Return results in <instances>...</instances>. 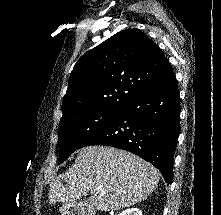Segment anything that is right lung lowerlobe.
<instances>
[{
    "mask_svg": "<svg viewBox=\"0 0 221 215\" xmlns=\"http://www.w3.org/2000/svg\"><path fill=\"white\" fill-rule=\"evenodd\" d=\"M179 90L172 73L153 91L123 108L110 125L82 147L106 145L130 151L152 163L169 184L180 126Z\"/></svg>",
    "mask_w": 221,
    "mask_h": 215,
    "instance_id": "obj_1",
    "label": "right lung lower lobe"
}]
</instances>
